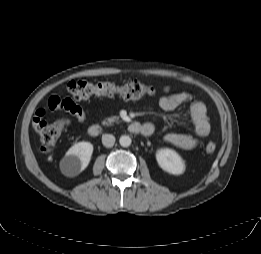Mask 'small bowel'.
I'll return each instance as SVG.
<instances>
[{
  "label": "small bowel",
  "mask_w": 261,
  "mask_h": 254,
  "mask_svg": "<svg viewBox=\"0 0 261 254\" xmlns=\"http://www.w3.org/2000/svg\"><path fill=\"white\" fill-rule=\"evenodd\" d=\"M190 99V93L178 92L163 96L160 99L159 104L164 111L171 112L190 101ZM48 106L51 110L63 108L69 111L78 120L79 123H85L87 119L88 111L74 103H65L64 100H62L58 108L53 109L49 104ZM40 111L42 113H40ZM189 113L194 124L195 135L184 133H168L164 136V139L167 143L184 150L193 149L198 143V138L206 137L210 133V123L207 115V108L203 102H192L189 107ZM44 115L45 110L39 109L36 112L33 125L36 126L38 122L42 121ZM144 125H151L153 127V125L150 123H145ZM153 131L154 127L152 128V131L149 135H151Z\"/></svg>",
  "instance_id": "1"
}]
</instances>
